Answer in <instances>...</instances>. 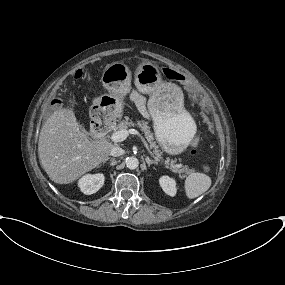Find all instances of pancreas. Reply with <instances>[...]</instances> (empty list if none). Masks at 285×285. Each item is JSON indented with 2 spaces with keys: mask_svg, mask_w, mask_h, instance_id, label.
Instances as JSON below:
<instances>
[{
  "mask_svg": "<svg viewBox=\"0 0 285 285\" xmlns=\"http://www.w3.org/2000/svg\"><path fill=\"white\" fill-rule=\"evenodd\" d=\"M139 127L142 132H144L146 139L150 143V147L153 148V153L158 159H161L162 152L158 149V145L154 141V135L151 132L146 121L133 122L129 117H125L116 126H113V130H127L129 127ZM166 166L174 173H178L180 178H185L184 174H189L192 172L188 166H183L182 164H176L175 161H170L169 159L165 162Z\"/></svg>",
  "mask_w": 285,
  "mask_h": 285,
  "instance_id": "pancreas-1",
  "label": "pancreas"
}]
</instances>
